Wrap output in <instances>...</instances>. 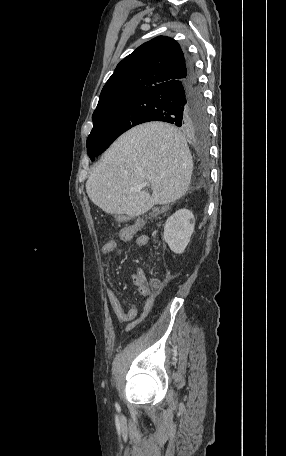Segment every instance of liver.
Segmentation results:
<instances>
[{
    "mask_svg": "<svg viewBox=\"0 0 286 456\" xmlns=\"http://www.w3.org/2000/svg\"><path fill=\"white\" fill-rule=\"evenodd\" d=\"M192 171V156L180 130L150 122L130 129L110 146L90 173L86 192L104 212L132 219L156 204L183 197ZM146 180L152 195L142 190Z\"/></svg>",
    "mask_w": 286,
    "mask_h": 456,
    "instance_id": "liver-1",
    "label": "liver"
}]
</instances>
